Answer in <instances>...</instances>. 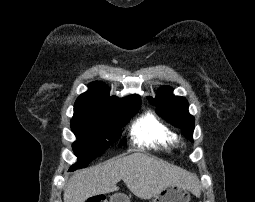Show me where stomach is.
Here are the masks:
<instances>
[{"mask_svg": "<svg viewBox=\"0 0 255 202\" xmlns=\"http://www.w3.org/2000/svg\"><path fill=\"white\" fill-rule=\"evenodd\" d=\"M191 196L188 189L179 185H170L154 196L153 202H190ZM110 202H130L123 194H114Z\"/></svg>", "mask_w": 255, "mask_h": 202, "instance_id": "obj_1", "label": "stomach"}]
</instances>
